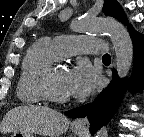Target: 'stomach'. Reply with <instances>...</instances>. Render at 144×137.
I'll use <instances>...</instances> for the list:
<instances>
[{"instance_id": "stomach-1", "label": "stomach", "mask_w": 144, "mask_h": 137, "mask_svg": "<svg viewBox=\"0 0 144 137\" xmlns=\"http://www.w3.org/2000/svg\"><path fill=\"white\" fill-rule=\"evenodd\" d=\"M74 133L77 135H83L82 131L74 129ZM11 137H34L32 133L16 131L13 132Z\"/></svg>"}]
</instances>
